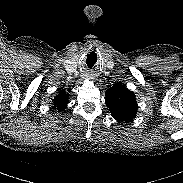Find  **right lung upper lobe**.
<instances>
[{
  "instance_id": "1",
  "label": "right lung upper lobe",
  "mask_w": 183,
  "mask_h": 183,
  "mask_svg": "<svg viewBox=\"0 0 183 183\" xmlns=\"http://www.w3.org/2000/svg\"><path fill=\"white\" fill-rule=\"evenodd\" d=\"M68 96L69 94L66 93L65 91L63 90H60L59 91V94L53 99V107L55 109H58V110H61L63 111L66 107H67V104H68Z\"/></svg>"
}]
</instances>
